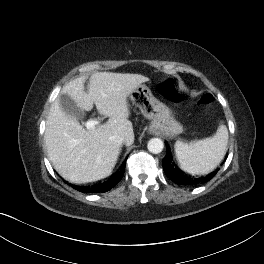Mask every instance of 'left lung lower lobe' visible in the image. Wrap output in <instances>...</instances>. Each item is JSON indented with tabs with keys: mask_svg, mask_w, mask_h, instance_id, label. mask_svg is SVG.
<instances>
[{
	"mask_svg": "<svg viewBox=\"0 0 264 264\" xmlns=\"http://www.w3.org/2000/svg\"><path fill=\"white\" fill-rule=\"evenodd\" d=\"M162 166H163L164 172L167 175V177L178 185H196V184L206 182L212 179L218 171L216 170L205 177H199V178L191 177L190 175H187L183 171H181L172 162L168 148H167V154L162 160Z\"/></svg>",
	"mask_w": 264,
	"mask_h": 264,
	"instance_id": "0a47b994",
	"label": "left lung lower lobe"
}]
</instances>
